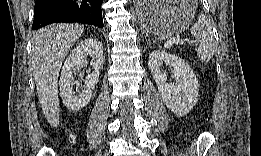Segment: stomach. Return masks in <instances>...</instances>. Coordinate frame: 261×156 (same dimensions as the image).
I'll return each instance as SVG.
<instances>
[{
    "instance_id": "1",
    "label": "stomach",
    "mask_w": 261,
    "mask_h": 156,
    "mask_svg": "<svg viewBox=\"0 0 261 156\" xmlns=\"http://www.w3.org/2000/svg\"><path fill=\"white\" fill-rule=\"evenodd\" d=\"M138 19L142 27L155 35H173L187 28L194 17L189 3L167 4L164 2H141Z\"/></svg>"
}]
</instances>
